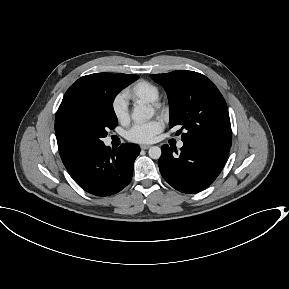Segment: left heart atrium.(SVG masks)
Listing matches in <instances>:
<instances>
[{
  "label": "left heart atrium",
  "instance_id": "39dd6f15",
  "mask_svg": "<svg viewBox=\"0 0 289 289\" xmlns=\"http://www.w3.org/2000/svg\"><path fill=\"white\" fill-rule=\"evenodd\" d=\"M161 129L162 124L159 120L135 124L126 132V138L134 143H150Z\"/></svg>",
  "mask_w": 289,
  "mask_h": 289
}]
</instances>
